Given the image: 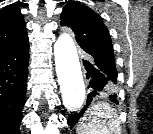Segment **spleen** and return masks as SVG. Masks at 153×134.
<instances>
[{
    "label": "spleen",
    "instance_id": "spleen-1",
    "mask_svg": "<svg viewBox=\"0 0 153 134\" xmlns=\"http://www.w3.org/2000/svg\"><path fill=\"white\" fill-rule=\"evenodd\" d=\"M77 134H121L118 114L106 102L93 103L77 126Z\"/></svg>",
    "mask_w": 153,
    "mask_h": 134
}]
</instances>
